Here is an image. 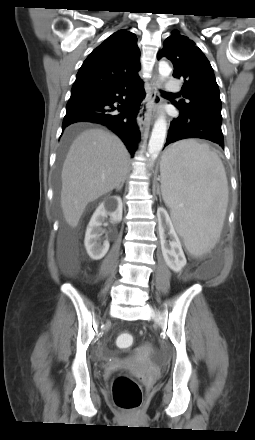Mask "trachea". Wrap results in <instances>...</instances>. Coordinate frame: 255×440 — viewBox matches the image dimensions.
<instances>
[{
  "label": "trachea",
  "instance_id": "1",
  "mask_svg": "<svg viewBox=\"0 0 255 440\" xmlns=\"http://www.w3.org/2000/svg\"><path fill=\"white\" fill-rule=\"evenodd\" d=\"M163 94H167V95H173L172 93L169 92H162Z\"/></svg>",
  "mask_w": 255,
  "mask_h": 440
}]
</instances>
